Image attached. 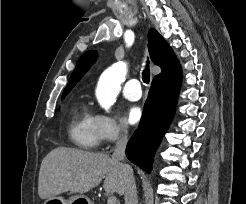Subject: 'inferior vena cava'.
Listing matches in <instances>:
<instances>
[{
	"mask_svg": "<svg viewBox=\"0 0 246 204\" xmlns=\"http://www.w3.org/2000/svg\"><path fill=\"white\" fill-rule=\"evenodd\" d=\"M127 144V136L125 133H121L117 139L116 147L114 149L112 158L116 161H121L123 169L126 173V183H125V192H124V199L125 204H138L137 199V189L136 183L133 176V170L125 163V148Z\"/></svg>",
	"mask_w": 246,
	"mask_h": 204,
	"instance_id": "602c4592",
	"label": "inferior vena cava"
}]
</instances>
